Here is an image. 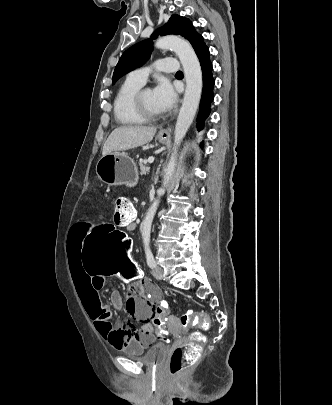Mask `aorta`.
Listing matches in <instances>:
<instances>
[{"label": "aorta", "mask_w": 332, "mask_h": 405, "mask_svg": "<svg viewBox=\"0 0 332 405\" xmlns=\"http://www.w3.org/2000/svg\"><path fill=\"white\" fill-rule=\"evenodd\" d=\"M155 46L158 49H170L179 57L184 69L186 90L175 125L173 152L165 169L162 187L158 189V197L151 204L142 222L141 233L143 243L146 246L150 243L151 226L159 206V199L164 195L165 188L168 186L175 172L178 146H180L182 139L193 122L199 107L203 88L201 66L190 43L177 36L169 35L159 38Z\"/></svg>", "instance_id": "1"}]
</instances>
